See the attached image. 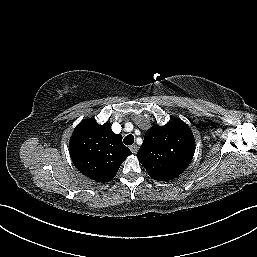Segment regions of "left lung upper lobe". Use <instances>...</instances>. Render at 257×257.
Returning <instances> with one entry per match:
<instances>
[{
    "mask_svg": "<svg viewBox=\"0 0 257 257\" xmlns=\"http://www.w3.org/2000/svg\"><path fill=\"white\" fill-rule=\"evenodd\" d=\"M194 152L195 139L191 129L174 120L147 130L137 157L152 178L169 181L187 168Z\"/></svg>",
    "mask_w": 257,
    "mask_h": 257,
    "instance_id": "5c2ea615",
    "label": "left lung upper lobe"
}]
</instances>
